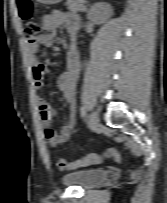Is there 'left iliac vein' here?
I'll list each match as a JSON object with an SVG mask.
<instances>
[{
	"label": "left iliac vein",
	"mask_w": 167,
	"mask_h": 203,
	"mask_svg": "<svg viewBox=\"0 0 167 203\" xmlns=\"http://www.w3.org/2000/svg\"><path fill=\"white\" fill-rule=\"evenodd\" d=\"M88 124L89 126L94 129L98 126L99 124V115L96 111H93L90 113L88 117Z\"/></svg>",
	"instance_id": "obj_1"
}]
</instances>
